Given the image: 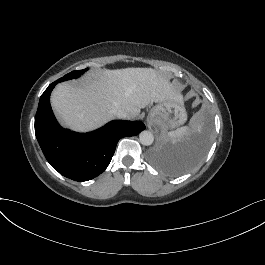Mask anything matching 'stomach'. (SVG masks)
Here are the masks:
<instances>
[{"label":"stomach","instance_id":"stomach-1","mask_svg":"<svg viewBox=\"0 0 265 265\" xmlns=\"http://www.w3.org/2000/svg\"><path fill=\"white\" fill-rule=\"evenodd\" d=\"M187 120V113L182 102L165 100L157 103L148 115V122L159 126L162 130L179 127Z\"/></svg>","mask_w":265,"mask_h":265}]
</instances>
